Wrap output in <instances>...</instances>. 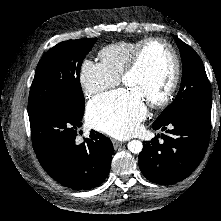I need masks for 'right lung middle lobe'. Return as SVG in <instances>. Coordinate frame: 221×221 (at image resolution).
Returning a JSON list of instances; mask_svg holds the SVG:
<instances>
[{"instance_id": "obj_1", "label": "right lung middle lobe", "mask_w": 221, "mask_h": 221, "mask_svg": "<svg viewBox=\"0 0 221 221\" xmlns=\"http://www.w3.org/2000/svg\"><path fill=\"white\" fill-rule=\"evenodd\" d=\"M96 41L92 38L61 42L41 58L29 93V115L54 104L84 112L79 73L83 59Z\"/></svg>"}]
</instances>
